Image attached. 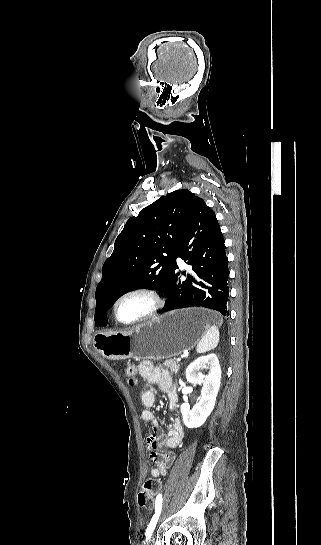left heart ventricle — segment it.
Returning <instances> with one entry per match:
<instances>
[{"label": "left heart ventricle", "mask_w": 321, "mask_h": 545, "mask_svg": "<svg viewBox=\"0 0 321 545\" xmlns=\"http://www.w3.org/2000/svg\"><path fill=\"white\" fill-rule=\"evenodd\" d=\"M151 302L145 296H131L118 306V315L122 321H133L143 316L150 308Z\"/></svg>", "instance_id": "obj_1"}]
</instances>
